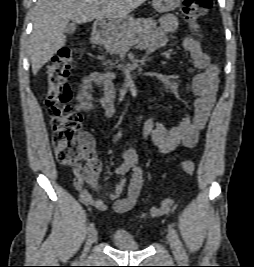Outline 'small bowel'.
<instances>
[{
  "label": "small bowel",
  "mask_w": 254,
  "mask_h": 267,
  "mask_svg": "<svg viewBox=\"0 0 254 267\" xmlns=\"http://www.w3.org/2000/svg\"><path fill=\"white\" fill-rule=\"evenodd\" d=\"M177 28L176 16L172 14L162 16L159 28L144 43L148 53L151 54L165 46L170 40L169 34L175 32ZM190 30L193 35L183 39V47L189 53L194 67L202 71L190 85L191 92L197 97L194 102V115L183 119L179 125L171 129H167L161 122L153 118L146 119L142 123L143 139L151 140L161 153L172 152L181 145L188 148L195 147L199 132L206 125L216 99L219 67L210 61L208 54L202 48V34L199 25L195 22L191 23ZM95 87H102L104 94L95 97L93 94ZM75 100V110L78 112L100 110L105 116H112L116 110L113 75L92 72L85 76L78 87ZM100 170L101 163L98 159L89 161L84 169L81 165L73 167L74 186L85 204L92 205L100 211H106L108 205L100 199H93L84 188V185L88 184L97 191L103 189L98 181ZM115 171L118 175L131 172L126 197L121 198L126 186L124 180H120L114 191L109 193L110 199L114 201L113 210L116 213H125L136 205L143 185V173L134 149L130 148L124 153L123 160Z\"/></svg>",
  "instance_id": "obj_1"
}]
</instances>
